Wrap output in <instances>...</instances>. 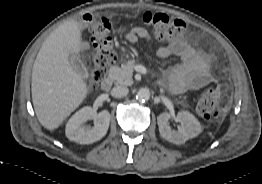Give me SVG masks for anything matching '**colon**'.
I'll use <instances>...</instances> for the list:
<instances>
[{"label":"colon","instance_id":"1","mask_svg":"<svg viewBox=\"0 0 262 184\" xmlns=\"http://www.w3.org/2000/svg\"><path fill=\"white\" fill-rule=\"evenodd\" d=\"M82 20L88 26L93 50L94 69L88 81V88L96 90L100 81L106 76L109 66L116 59L110 35L111 23L107 17L94 14H85ZM143 22L160 41H177L187 30L185 22L163 13L146 12L143 15ZM196 108L198 113L208 120L219 117V90L217 88L204 90L197 101Z\"/></svg>","mask_w":262,"mask_h":184}]
</instances>
